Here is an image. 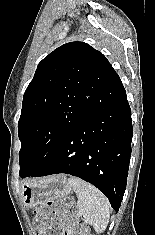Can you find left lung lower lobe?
Returning <instances> with one entry per match:
<instances>
[{"label": "left lung lower lobe", "instance_id": "left-lung-lower-lobe-1", "mask_svg": "<svg viewBox=\"0 0 155 235\" xmlns=\"http://www.w3.org/2000/svg\"><path fill=\"white\" fill-rule=\"evenodd\" d=\"M132 135L131 109L115 73L45 166L30 176H77L103 192L117 212L127 183Z\"/></svg>", "mask_w": 155, "mask_h": 235}]
</instances>
